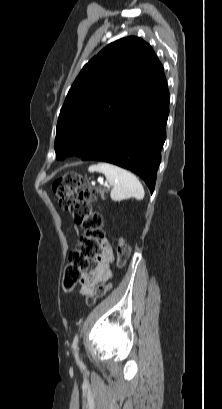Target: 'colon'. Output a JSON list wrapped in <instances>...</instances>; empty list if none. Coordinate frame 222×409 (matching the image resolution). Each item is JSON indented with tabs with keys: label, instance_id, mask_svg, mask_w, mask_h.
I'll use <instances>...</instances> for the list:
<instances>
[{
	"label": "colon",
	"instance_id": "5ec220e1",
	"mask_svg": "<svg viewBox=\"0 0 222 409\" xmlns=\"http://www.w3.org/2000/svg\"><path fill=\"white\" fill-rule=\"evenodd\" d=\"M60 207L72 214L82 224L83 235L77 247L70 253L69 263L64 269L63 288L72 290L82 279L83 272L88 268L91 259H99L98 255L100 240L103 236L102 216L93 211L92 205L98 197L96 188L90 181L77 172H67L57 178L52 184ZM130 256V246L120 238L117 245L116 265L121 268ZM110 286L99 288L87 296L88 305H93L97 298L106 294Z\"/></svg>",
	"mask_w": 222,
	"mask_h": 409
}]
</instances>
